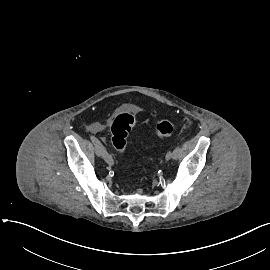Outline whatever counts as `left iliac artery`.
Instances as JSON below:
<instances>
[{
  "label": "left iliac artery",
  "instance_id": "44dca946",
  "mask_svg": "<svg viewBox=\"0 0 270 270\" xmlns=\"http://www.w3.org/2000/svg\"><path fill=\"white\" fill-rule=\"evenodd\" d=\"M180 146L179 145H177L176 147H175V149H174V151H173V155H172V158L173 159H177L178 157H179V155H180Z\"/></svg>",
  "mask_w": 270,
  "mask_h": 270
}]
</instances>
